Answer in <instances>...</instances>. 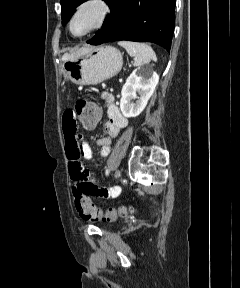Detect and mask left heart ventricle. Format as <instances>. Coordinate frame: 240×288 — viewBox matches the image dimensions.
Segmentation results:
<instances>
[{"label": "left heart ventricle", "mask_w": 240, "mask_h": 288, "mask_svg": "<svg viewBox=\"0 0 240 288\" xmlns=\"http://www.w3.org/2000/svg\"><path fill=\"white\" fill-rule=\"evenodd\" d=\"M98 17L99 9L96 6L83 8L72 23L73 32L77 35L87 32L96 24Z\"/></svg>", "instance_id": "obj_1"}]
</instances>
